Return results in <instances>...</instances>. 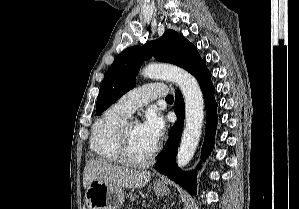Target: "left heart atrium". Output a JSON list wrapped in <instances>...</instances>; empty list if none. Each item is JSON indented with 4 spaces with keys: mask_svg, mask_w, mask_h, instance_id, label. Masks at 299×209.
<instances>
[{
    "mask_svg": "<svg viewBox=\"0 0 299 209\" xmlns=\"http://www.w3.org/2000/svg\"><path fill=\"white\" fill-rule=\"evenodd\" d=\"M140 129L143 136L155 148L164 133L165 122L156 111L150 110L146 113Z\"/></svg>",
    "mask_w": 299,
    "mask_h": 209,
    "instance_id": "left-heart-atrium-1",
    "label": "left heart atrium"
}]
</instances>
